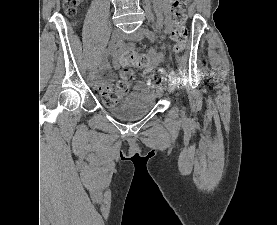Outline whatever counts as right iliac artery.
<instances>
[{"mask_svg":"<svg viewBox=\"0 0 277 225\" xmlns=\"http://www.w3.org/2000/svg\"><path fill=\"white\" fill-rule=\"evenodd\" d=\"M120 45H122V41H118L117 43L110 41L108 47L105 49V51L103 52V57L100 59L98 66L94 72V77L95 79H99L100 78V71H101V67L102 64L104 63V59L106 57V54L109 53L110 51L118 48Z\"/></svg>","mask_w":277,"mask_h":225,"instance_id":"right-iliac-artery-1","label":"right iliac artery"}]
</instances>
